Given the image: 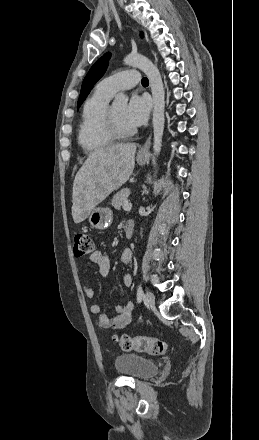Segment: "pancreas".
Returning a JSON list of instances; mask_svg holds the SVG:
<instances>
[{
	"label": "pancreas",
	"mask_w": 259,
	"mask_h": 440,
	"mask_svg": "<svg viewBox=\"0 0 259 440\" xmlns=\"http://www.w3.org/2000/svg\"><path fill=\"white\" fill-rule=\"evenodd\" d=\"M130 195V190L128 188H124L120 190L118 193H116L113 196V199L111 201L112 206L116 210H120L121 207L128 202V196Z\"/></svg>",
	"instance_id": "obj_1"
}]
</instances>
